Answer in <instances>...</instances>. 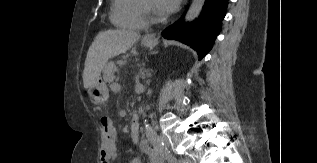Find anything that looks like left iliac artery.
Wrapping results in <instances>:
<instances>
[{
    "instance_id": "obj_1",
    "label": "left iliac artery",
    "mask_w": 317,
    "mask_h": 163,
    "mask_svg": "<svg viewBox=\"0 0 317 163\" xmlns=\"http://www.w3.org/2000/svg\"><path fill=\"white\" fill-rule=\"evenodd\" d=\"M168 162H170V163H178V161L176 160V158L171 157V156H168ZM179 163H180V161H179Z\"/></svg>"
}]
</instances>
